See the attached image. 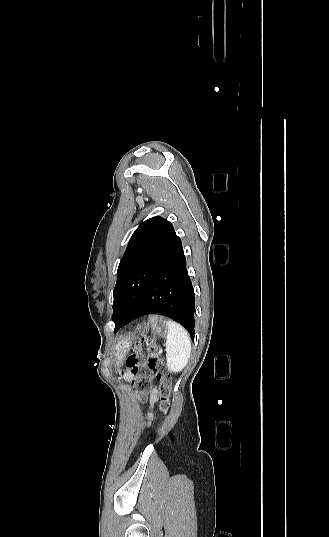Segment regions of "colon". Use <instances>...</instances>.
<instances>
[{"mask_svg": "<svg viewBox=\"0 0 329 537\" xmlns=\"http://www.w3.org/2000/svg\"><path fill=\"white\" fill-rule=\"evenodd\" d=\"M147 335L139 333L136 336L132 352L127 356L125 364L135 377V387L141 399L150 388L151 378L160 381L159 404L162 411H166L169 405L171 375L159 357L155 346L150 345L148 355L145 357L141 353L142 344Z\"/></svg>", "mask_w": 329, "mask_h": 537, "instance_id": "1", "label": "colon"}]
</instances>
